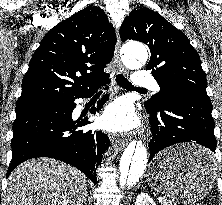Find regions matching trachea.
<instances>
[{"instance_id": "1", "label": "trachea", "mask_w": 222, "mask_h": 205, "mask_svg": "<svg viewBox=\"0 0 222 205\" xmlns=\"http://www.w3.org/2000/svg\"><path fill=\"white\" fill-rule=\"evenodd\" d=\"M116 82L123 88L125 89H129V90H144L145 89H142V88H136L134 87L131 82L128 81L127 78H125L122 74H118L116 76Z\"/></svg>"}]
</instances>
